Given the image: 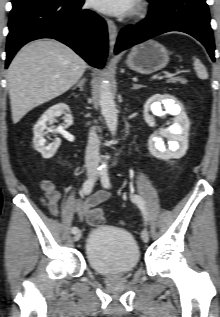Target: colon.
I'll return each mask as SVG.
<instances>
[{
  "label": "colon",
  "mask_w": 220,
  "mask_h": 317,
  "mask_svg": "<svg viewBox=\"0 0 220 317\" xmlns=\"http://www.w3.org/2000/svg\"><path fill=\"white\" fill-rule=\"evenodd\" d=\"M87 222L93 227L102 225L104 222L103 211L99 208L90 210L87 215Z\"/></svg>",
  "instance_id": "obj_1"
}]
</instances>
